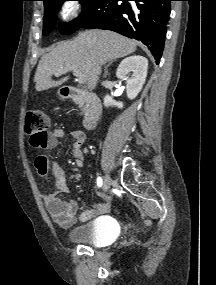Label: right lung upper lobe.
Segmentation results:
<instances>
[{"instance_id": "obj_1", "label": "right lung upper lobe", "mask_w": 216, "mask_h": 285, "mask_svg": "<svg viewBox=\"0 0 216 285\" xmlns=\"http://www.w3.org/2000/svg\"><path fill=\"white\" fill-rule=\"evenodd\" d=\"M42 1H44V3H47V2L50 1V0H42Z\"/></svg>"}]
</instances>
